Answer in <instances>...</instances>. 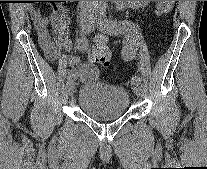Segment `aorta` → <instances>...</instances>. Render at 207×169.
<instances>
[{
  "label": "aorta",
  "instance_id": "obj_1",
  "mask_svg": "<svg viewBox=\"0 0 207 169\" xmlns=\"http://www.w3.org/2000/svg\"><path fill=\"white\" fill-rule=\"evenodd\" d=\"M107 1H95V4H99V5H102V4H105ZM133 1H117V5L118 7H121V8H126V7H129L131 5Z\"/></svg>",
  "mask_w": 207,
  "mask_h": 169
}]
</instances>
